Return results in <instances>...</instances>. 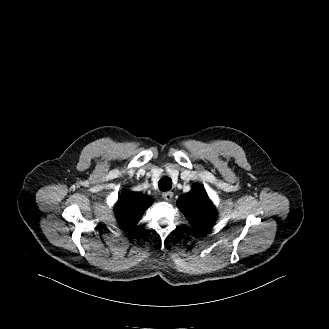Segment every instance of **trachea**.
Segmentation results:
<instances>
[{"mask_svg": "<svg viewBox=\"0 0 329 329\" xmlns=\"http://www.w3.org/2000/svg\"><path fill=\"white\" fill-rule=\"evenodd\" d=\"M158 186L161 191H167L172 187V180L167 176L162 177L158 182Z\"/></svg>", "mask_w": 329, "mask_h": 329, "instance_id": "3493384b", "label": "trachea"}]
</instances>
